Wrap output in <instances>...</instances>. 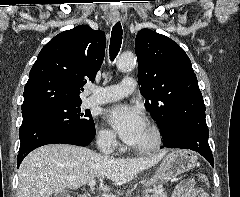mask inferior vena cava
<instances>
[{"mask_svg": "<svg viewBox=\"0 0 240 197\" xmlns=\"http://www.w3.org/2000/svg\"><path fill=\"white\" fill-rule=\"evenodd\" d=\"M112 138H113V136H106V137L100 138L98 141V146L101 149H106L107 147L110 146V144L112 142Z\"/></svg>", "mask_w": 240, "mask_h": 197, "instance_id": "1", "label": "inferior vena cava"}]
</instances>
